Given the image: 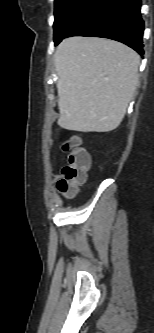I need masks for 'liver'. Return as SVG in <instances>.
I'll use <instances>...</instances> for the list:
<instances>
[{
  "instance_id": "6515ba94",
  "label": "liver",
  "mask_w": 154,
  "mask_h": 333,
  "mask_svg": "<svg viewBox=\"0 0 154 333\" xmlns=\"http://www.w3.org/2000/svg\"><path fill=\"white\" fill-rule=\"evenodd\" d=\"M54 58L58 125L79 132L116 129L138 83L139 55L117 41L70 37Z\"/></svg>"
}]
</instances>
